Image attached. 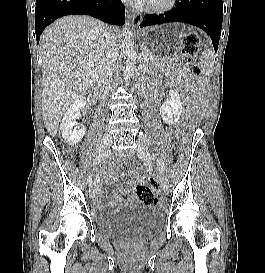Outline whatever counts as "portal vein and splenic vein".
Here are the masks:
<instances>
[{
	"instance_id": "obj_1",
	"label": "portal vein and splenic vein",
	"mask_w": 265,
	"mask_h": 273,
	"mask_svg": "<svg viewBox=\"0 0 265 273\" xmlns=\"http://www.w3.org/2000/svg\"><path fill=\"white\" fill-rule=\"evenodd\" d=\"M142 55H143L144 57H148V54H147V53H142Z\"/></svg>"
}]
</instances>
